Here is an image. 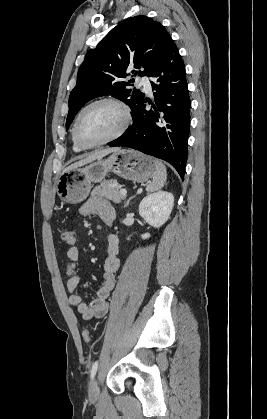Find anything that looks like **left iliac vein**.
Wrapping results in <instances>:
<instances>
[{"mask_svg":"<svg viewBox=\"0 0 267 419\" xmlns=\"http://www.w3.org/2000/svg\"><path fill=\"white\" fill-rule=\"evenodd\" d=\"M99 387L97 378H93L89 385V396L95 398L98 395Z\"/></svg>","mask_w":267,"mask_h":419,"instance_id":"left-iliac-vein-1","label":"left iliac vein"}]
</instances>
